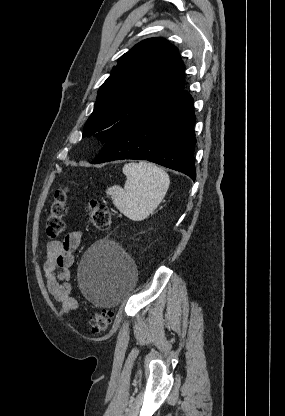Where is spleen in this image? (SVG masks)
Returning a JSON list of instances; mask_svg holds the SVG:
<instances>
[{"label":"spleen","instance_id":"spleen-1","mask_svg":"<svg viewBox=\"0 0 285 416\" xmlns=\"http://www.w3.org/2000/svg\"><path fill=\"white\" fill-rule=\"evenodd\" d=\"M123 174L126 176L124 188L111 186L106 194L111 196L115 208L121 214L134 222H141L165 198L170 184L169 176L163 168L148 162L125 164Z\"/></svg>","mask_w":285,"mask_h":416}]
</instances>
